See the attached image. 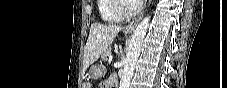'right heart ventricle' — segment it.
<instances>
[{
    "label": "right heart ventricle",
    "mask_w": 227,
    "mask_h": 88,
    "mask_svg": "<svg viewBox=\"0 0 227 88\" xmlns=\"http://www.w3.org/2000/svg\"><path fill=\"white\" fill-rule=\"evenodd\" d=\"M115 0H97L99 15L102 20L107 22H119L121 20L113 11Z\"/></svg>",
    "instance_id": "right-heart-ventricle-1"
}]
</instances>
